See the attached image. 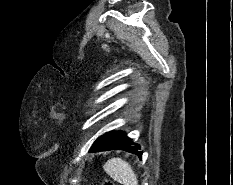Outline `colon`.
I'll list each match as a JSON object with an SVG mask.
<instances>
[{
    "label": "colon",
    "mask_w": 233,
    "mask_h": 185,
    "mask_svg": "<svg viewBox=\"0 0 233 185\" xmlns=\"http://www.w3.org/2000/svg\"><path fill=\"white\" fill-rule=\"evenodd\" d=\"M103 185H113L111 182L106 181Z\"/></svg>",
    "instance_id": "obj_1"
}]
</instances>
